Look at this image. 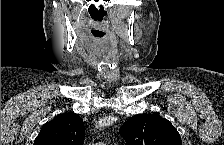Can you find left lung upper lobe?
I'll list each match as a JSON object with an SVG mask.
<instances>
[{
    "instance_id": "obj_1",
    "label": "left lung upper lobe",
    "mask_w": 224,
    "mask_h": 145,
    "mask_svg": "<svg viewBox=\"0 0 224 145\" xmlns=\"http://www.w3.org/2000/svg\"><path fill=\"white\" fill-rule=\"evenodd\" d=\"M120 133L127 145H182L174 126L158 114H139L125 122Z\"/></svg>"
}]
</instances>
